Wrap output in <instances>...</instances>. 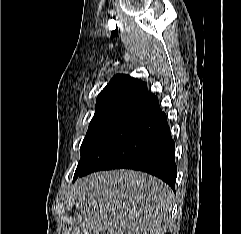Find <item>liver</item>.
<instances>
[{"label":"liver","mask_w":241,"mask_h":234,"mask_svg":"<svg viewBox=\"0 0 241 234\" xmlns=\"http://www.w3.org/2000/svg\"><path fill=\"white\" fill-rule=\"evenodd\" d=\"M74 198L81 219L72 234H165L174 193L146 173L112 170L79 179Z\"/></svg>","instance_id":"liver-1"}]
</instances>
